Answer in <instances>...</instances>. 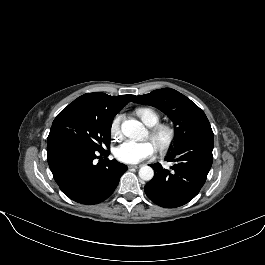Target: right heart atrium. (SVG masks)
<instances>
[{
	"label": "right heart atrium",
	"instance_id": "obj_1",
	"mask_svg": "<svg viewBox=\"0 0 265 265\" xmlns=\"http://www.w3.org/2000/svg\"><path fill=\"white\" fill-rule=\"evenodd\" d=\"M121 122L122 115L117 114L110 123V133L114 137H119L121 135Z\"/></svg>",
	"mask_w": 265,
	"mask_h": 265
}]
</instances>
